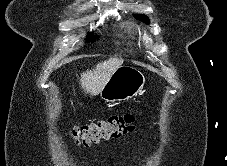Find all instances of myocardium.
I'll return each mask as SVG.
<instances>
[{"label":"myocardium","mask_w":227,"mask_h":166,"mask_svg":"<svg viewBox=\"0 0 227 166\" xmlns=\"http://www.w3.org/2000/svg\"><path fill=\"white\" fill-rule=\"evenodd\" d=\"M142 40H143L146 44H152V43H153L152 37H151L149 34H147V33H144V34L142 35Z\"/></svg>","instance_id":"f54148a6"}]
</instances>
